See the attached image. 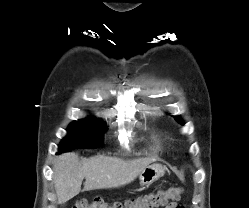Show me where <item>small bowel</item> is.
Masks as SVG:
<instances>
[{
  "instance_id": "1",
  "label": "small bowel",
  "mask_w": 249,
  "mask_h": 208,
  "mask_svg": "<svg viewBox=\"0 0 249 208\" xmlns=\"http://www.w3.org/2000/svg\"><path fill=\"white\" fill-rule=\"evenodd\" d=\"M165 208H180L176 202H171L165 206Z\"/></svg>"
}]
</instances>
